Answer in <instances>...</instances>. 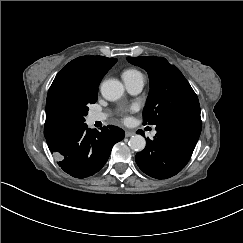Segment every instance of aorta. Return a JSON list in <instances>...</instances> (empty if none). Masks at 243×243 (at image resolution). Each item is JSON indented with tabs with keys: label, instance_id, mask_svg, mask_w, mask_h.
I'll return each mask as SVG.
<instances>
[{
	"label": "aorta",
	"instance_id": "1",
	"mask_svg": "<svg viewBox=\"0 0 243 243\" xmlns=\"http://www.w3.org/2000/svg\"><path fill=\"white\" fill-rule=\"evenodd\" d=\"M100 92L104 99L116 101L123 95L124 87L120 81L109 79L102 82ZM128 145L133 151H142L145 148V139L141 135L131 136Z\"/></svg>",
	"mask_w": 243,
	"mask_h": 243
}]
</instances>
